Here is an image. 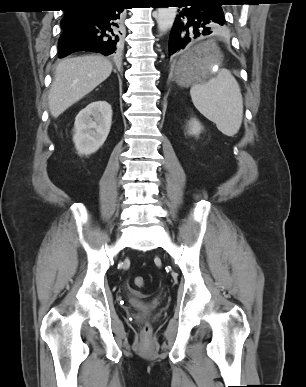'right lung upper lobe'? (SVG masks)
<instances>
[{
	"instance_id": "cb5924a9",
	"label": "right lung upper lobe",
	"mask_w": 306,
	"mask_h": 387,
	"mask_svg": "<svg viewBox=\"0 0 306 387\" xmlns=\"http://www.w3.org/2000/svg\"><path fill=\"white\" fill-rule=\"evenodd\" d=\"M69 7H79L83 5H97L102 4L111 0H66ZM70 9L66 11L65 17H71V14L69 13Z\"/></svg>"
}]
</instances>
